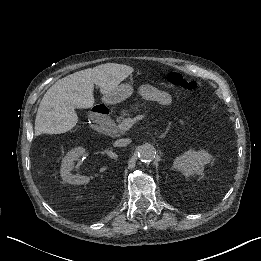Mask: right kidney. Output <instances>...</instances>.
Instances as JSON below:
<instances>
[{"instance_id":"right-kidney-1","label":"right kidney","mask_w":261,"mask_h":261,"mask_svg":"<svg viewBox=\"0 0 261 261\" xmlns=\"http://www.w3.org/2000/svg\"><path fill=\"white\" fill-rule=\"evenodd\" d=\"M84 152L85 149L83 147H77L72 149V151L66 154L62 159L61 177L65 182L73 185H83L89 182V178L86 176L71 174V171L73 170V159L76 158L79 153L83 154Z\"/></svg>"}]
</instances>
